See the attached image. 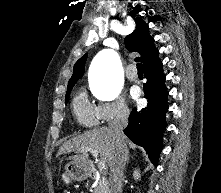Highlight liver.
Segmentation results:
<instances>
[{
    "label": "liver",
    "instance_id": "1",
    "mask_svg": "<svg viewBox=\"0 0 221 193\" xmlns=\"http://www.w3.org/2000/svg\"><path fill=\"white\" fill-rule=\"evenodd\" d=\"M124 142L127 139L124 136ZM92 148L98 151L102 161H105L109 166L115 153V138L114 132L110 127H101L86 131L84 134L76 136L66 142L59 148L58 154H66L76 152L74 156H70L69 160L74 163L86 164L89 151H82V149Z\"/></svg>",
    "mask_w": 221,
    "mask_h": 193
}]
</instances>
